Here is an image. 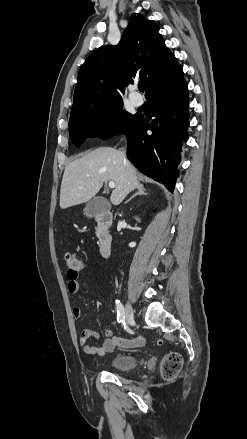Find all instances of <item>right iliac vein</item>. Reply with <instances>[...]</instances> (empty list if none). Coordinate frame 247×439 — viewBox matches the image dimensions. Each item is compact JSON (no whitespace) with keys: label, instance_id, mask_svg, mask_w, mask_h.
Listing matches in <instances>:
<instances>
[{"label":"right iliac vein","instance_id":"63e3f726","mask_svg":"<svg viewBox=\"0 0 247 439\" xmlns=\"http://www.w3.org/2000/svg\"><path fill=\"white\" fill-rule=\"evenodd\" d=\"M125 313H126V321L128 324L133 323L134 321V313H133V308L131 306V304L129 302L126 303L125 306Z\"/></svg>","mask_w":247,"mask_h":439}]
</instances>
